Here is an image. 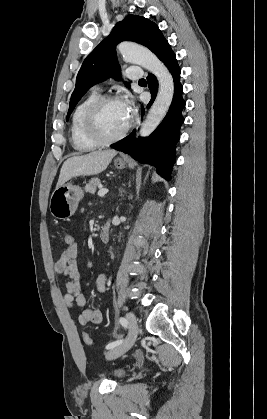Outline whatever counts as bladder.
Here are the masks:
<instances>
[{"label": "bladder", "mask_w": 267, "mask_h": 419, "mask_svg": "<svg viewBox=\"0 0 267 419\" xmlns=\"http://www.w3.org/2000/svg\"><path fill=\"white\" fill-rule=\"evenodd\" d=\"M109 375H110V377L112 379L117 380V379L122 378L125 375V370H123V369H114V370L110 371Z\"/></svg>", "instance_id": "31cf9c89"}]
</instances>
